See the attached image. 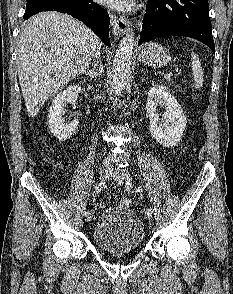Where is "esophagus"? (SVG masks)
I'll return each instance as SVG.
<instances>
[{"instance_id": "34e87169", "label": "esophagus", "mask_w": 233, "mask_h": 294, "mask_svg": "<svg viewBox=\"0 0 233 294\" xmlns=\"http://www.w3.org/2000/svg\"><path fill=\"white\" fill-rule=\"evenodd\" d=\"M111 24L113 26V35L121 37L129 30L127 20L123 17L111 15Z\"/></svg>"}]
</instances>
